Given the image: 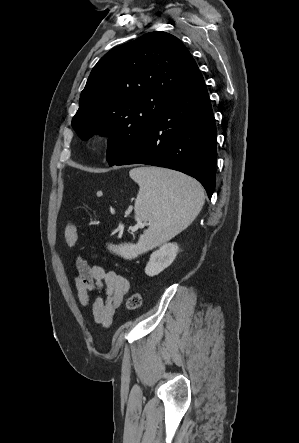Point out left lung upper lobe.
Returning <instances> with one entry per match:
<instances>
[{
  "label": "left lung upper lobe",
  "instance_id": "left-lung-upper-lobe-1",
  "mask_svg": "<svg viewBox=\"0 0 299 443\" xmlns=\"http://www.w3.org/2000/svg\"><path fill=\"white\" fill-rule=\"evenodd\" d=\"M198 66L175 36L150 32L104 55L80 96L72 127L82 140L109 136L107 161L118 162L152 126Z\"/></svg>",
  "mask_w": 299,
  "mask_h": 443
}]
</instances>
